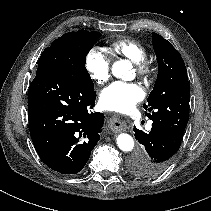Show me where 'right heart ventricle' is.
<instances>
[{
  "label": "right heart ventricle",
  "mask_w": 211,
  "mask_h": 211,
  "mask_svg": "<svg viewBox=\"0 0 211 211\" xmlns=\"http://www.w3.org/2000/svg\"><path fill=\"white\" fill-rule=\"evenodd\" d=\"M114 55L122 56L136 63L146 58L147 52L143 45L133 39H119L110 44Z\"/></svg>",
  "instance_id": "right-heart-ventricle-1"
}]
</instances>
